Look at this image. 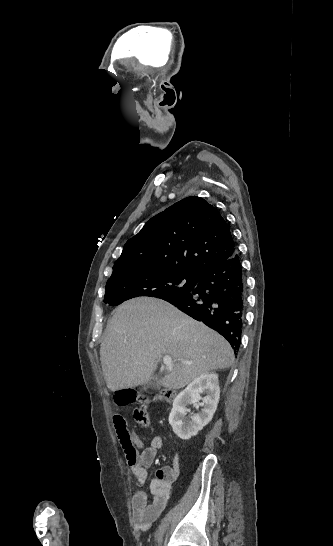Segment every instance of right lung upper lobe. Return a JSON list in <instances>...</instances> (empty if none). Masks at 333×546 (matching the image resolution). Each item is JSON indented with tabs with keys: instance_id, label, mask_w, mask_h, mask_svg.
<instances>
[{
	"instance_id": "right-lung-upper-lobe-1",
	"label": "right lung upper lobe",
	"mask_w": 333,
	"mask_h": 546,
	"mask_svg": "<svg viewBox=\"0 0 333 546\" xmlns=\"http://www.w3.org/2000/svg\"><path fill=\"white\" fill-rule=\"evenodd\" d=\"M237 252L218 210L200 197H187L151 218L124 245L113 270H144L200 275Z\"/></svg>"
}]
</instances>
